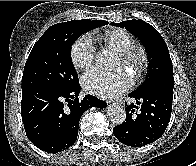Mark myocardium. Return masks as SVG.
Instances as JSON below:
<instances>
[{"label":"myocardium","instance_id":"obj_1","mask_svg":"<svg viewBox=\"0 0 196 166\" xmlns=\"http://www.w3.org/2000/svg\"><path fill=\"white\" fill-rule=\"evenodd\" d=\"M119 59L122 64L131 67L138 75L143 74L148 66V54L142 46L137 44L119 53Z\"/></svg>","mask_w":196,"mask_h":166}]
</instances>
